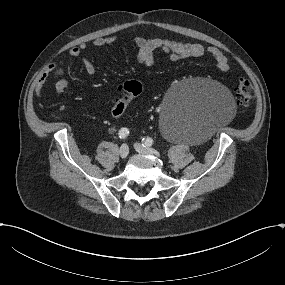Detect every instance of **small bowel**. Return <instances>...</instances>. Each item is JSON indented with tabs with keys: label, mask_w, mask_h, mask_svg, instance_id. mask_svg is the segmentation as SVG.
<instances>
[{
	"label": "small bowel",
	"mask_w": 285,
	"mask_h": 285,
	"mask_svg": "<svg viewBox=\"0 0 285 285\" xmlns=\"http://www.w3.org/2000/svg\"><path fill=\"white\" fill-rule=\"evenodd\" d=\"M136 46V59L145 66H151L155 61V52L161 51L169 56L172 61H180L185 58L209 57L211 58L219 71L226 72L229 70V62L225 54L217 47H204L199 43L183 42L175 39L163 38H144L142 36H135L133 38ZM117 42L115 37H100L96 38L91 45L94 47H107ZM90 45L82 43L70 49L69 54L73 57H80L83 52L88 50ZM86 73L89 76L95 74L96 68L88 58H81ZM55 64H50L46 71L42 74L37 82L36 93L37 96H42L43 85L47 74L54 71ZM68 87V81L64 78L59 79L55 84V97L59 99Z\"/></svg>",
	"instance_id": "small-bowel-1"
}]
</instances>
